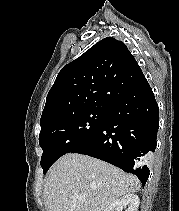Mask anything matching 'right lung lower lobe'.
<instances>
[{"instance_id": "right-lung-lower-lobe-1", "label": "right lung lower lobe", "mask_w": 179, "mask_h": 211, "mask_svg": "<svg viewBox=\"0 0 179 211\" xmlns=\"http://www.w3.org/2000/svg\"><path fill=\"white\" fill-rule=\"evenodd\" d=\"M158 105L146 78L113 102L95 135L72 152L111 163L135 174L144 187L147 161L156 148Z\"/></svg>"}]
</instances>
